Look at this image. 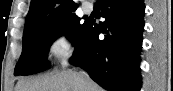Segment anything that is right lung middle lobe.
Wrapping results in <instances>:
<instances>
[{"label":"right lung middle lobe","instance_id":"dd1d6c3e","mask_svg":"<svg viewBox=\"0 0 173 91\" xmlns=\"http://www.w3.org/2000/svg\"><path fill=\"white\" fill-rule=\"evenodd\" d=\"M88 25V20L81 22V18L73 14L58 21L26 28L23 34L22 54L14 75L25 76L49 68L47 53L53 41L65 35L76 46L83 38Z\"/></svg>","mask_w":173,"mask_h":91}]
</instances>
